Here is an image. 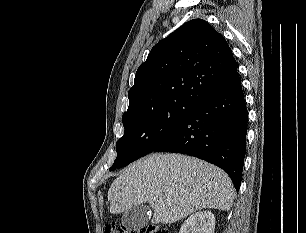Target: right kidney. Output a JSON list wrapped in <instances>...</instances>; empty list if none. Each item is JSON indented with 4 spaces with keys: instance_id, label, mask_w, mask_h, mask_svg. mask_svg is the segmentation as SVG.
Returning a JSON list of instances; mask_svg holds the SVG:
<instances>
[{
    "instance_id": "ca27d5eb",
    "label": "right kidney",
    "mask_w": 306,
    "mask_h": 233,
    "mask_svg": "<svg viewBox=\"0 0 306 233\" xmlns=\"http://www.w3.org/2000/svg\"><path fill=\"white\" fill-rule=\"evenodd\" d=\"M215 216L211 211L192 214L182 224L179 233H213Z\"/></svg>"
}]
</instances>
